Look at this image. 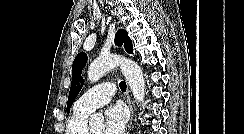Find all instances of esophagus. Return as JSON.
<instances>
[{"label": "esophagus", "mask_w": 244, "mask_h": 134, "mask_svg": "<svg viewBox=\"0 0 244 134\" xmlns=\"http://www.w3.org/2000/svg\"><path fill=\"white\" fill-rule=\"evenodd\" d=\"M126 100H127L130 112H131L130 122L128 124V129H127V134H129V131H130V128H131V125H132V121H133V108H132V104H131L130 95H129V89L128 88H127V92H126Z\"/></svg>", "instance_id": "1"}]
</instances>
